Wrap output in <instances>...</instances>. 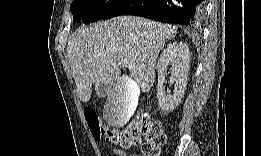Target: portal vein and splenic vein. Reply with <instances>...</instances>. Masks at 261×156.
Segmentation results:
<instances>
[{"instance_id":"18ae733b","label":"portal vein and splenic vein","mask_w":261,"mask_h":156,"mask_svg":"<svg viewBox=\"0 0 261 156\" xmlns=\"http://www.w3.org/2000/svg\"><path fill=\"white\" fill-rule=\"evenodd\" d=\"M119 65L123 66V67H130L129 63L126 60H121L118 63Z\"/></svg>"}]
</instances>
